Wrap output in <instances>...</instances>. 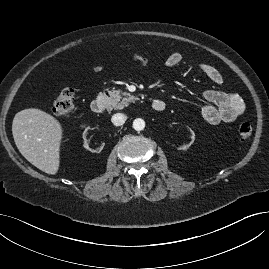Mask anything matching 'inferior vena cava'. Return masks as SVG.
I'll return each instance as SVG.
<instances>
[{"label":"inferior vena cava","mask_w":269,"mask_h":269,"mask_svg":"<svg viewBox=\"0 0 269 269\" xmlns=\"http://www.w3.org/2000/svg\"><path fill=\"white\" fill-rule=\"evenodd\" d=\"M127 120V116L122 113H116L112 116L111 121L115 126H121Z\"/></svg>","instance_id":"inferior-vena-cava-1"}]
</instances>
